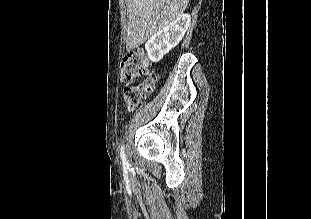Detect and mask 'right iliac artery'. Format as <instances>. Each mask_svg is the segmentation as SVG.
<instances>
[{"instance_id": "82829eb1", "label": "right iliac artery", "mask_w": 311, "mask_h": 219, "mask_svg": "<svg viewBox=\"0 0 311 219\" xmlns=\"http://www.w3.org/2000/svg\"><path fill=\"white\" fill-rule=\"evenodd\" d=\"M120 156H121V158H122L123 166H124V167H128L129 164H128V161H127L126 156H125L124 146H121Z\"/></svg>"}]
</instances>
